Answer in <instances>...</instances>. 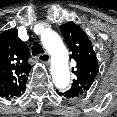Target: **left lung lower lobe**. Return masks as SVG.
I'll return each instance as SVG.
<instances>
[{"instance_id": "left-lung-lower-lobe-1", "label": "left lung lower lobe", "mask_w": 117, "mask_h": 117, "mask_svg": "<svg viewBox=\"0 0 117 117\" xmlns=\"http://www.w3.org/2000/svg\"><path fill=\"white\" fill-rule=\"evenodd\" d=\"M57 93H58V95H60V96L66 97V93H65V92H60V91L57 90Z\"/></svg>"}]
</instances>
